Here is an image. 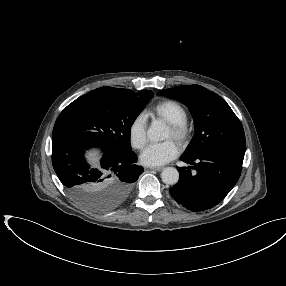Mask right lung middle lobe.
<instances>
[{
  "mask_svg": "<svg viewBox=\"0 0 286 286\" xmlns=\"http://www.w3.org/2000/svg\"><path fill=\"white\" fill-rule=\"evenodd\" d=\"M153 92L101 87L79 97L59 115L56 123L73 130L82 139L117 150H129L130 132L136 117L144 109ZM95 211L109 207L95 202L83 203Z\"/></svg>",
  "mask_w": 286,
  "mask_h": 286,
  "instance_id": "obj_1",
  "label": "right lung middle lobe"
}]
</instances>
